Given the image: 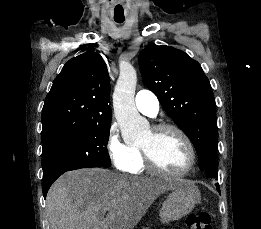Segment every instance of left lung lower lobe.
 Instances as JSON below:
<instances>
[{
  "label": "left lung lower lobe",
  "mask_w": 261,
  "mask_h": 229,
  "mask_svg": "<svg viewBox=\"0 0 261 229\" xmlns=\"http://www.w3.org/2000/svg\"><path fill=\"white\" fill-rule=\"evenodd\" d=\"M203 173L209 178H217L218 177V168L215 161L209 163L206 168H204ZM217 190L220 191L219 184H216Z\"/></svg>",
  "instance_id": "0a47b994"
}]
</instances>
